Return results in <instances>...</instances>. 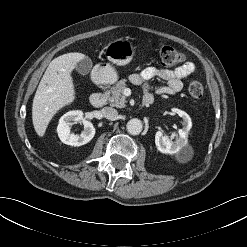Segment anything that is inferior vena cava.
I'll use <instances>...</instances> for the list:
<instances>
[{
    "label": "inferior vena cava",
    "instance_id": "602c4592",
    "mask_svg": "<svg viewBox=\"0 0 247 247\" xmlns=\"http://www.w3.org/2000/svg\"><path fill=\"white\" fill-rule=\"evenodd\" d=\"M102 114L105 118L110 120L115 119L118 116L117 110L112 107H104L102 109Z\"/></svg>",
    "mask_w": 247,
    "mask_h": 247
}]
</instances>
